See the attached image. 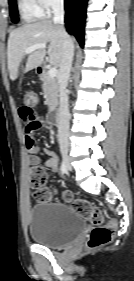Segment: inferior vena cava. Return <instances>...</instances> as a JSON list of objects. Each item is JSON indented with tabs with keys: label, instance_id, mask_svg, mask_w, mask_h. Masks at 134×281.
<instances>
[{
	"label": "inferior vena cava",
	"instance_id": "obj_1",
	"mask_svg": "<svg viewBox=\"0 0 134 281\" xmlns=\"http://www.w3.org/2000/svg\"><path fill=\"white\" fill-rule=\"evenodd\" d=\"M53 23L59 25L63 38V55L60 62L58 82H59V108H58V141L61 147L67 148L69 145V104L67 96V85L74 57V44L66 33L64 25V3L63 0H54L52 4Z\"/></svg>",
	"mask_w": 134,
	"mask_h": 281
}]
</instances>
